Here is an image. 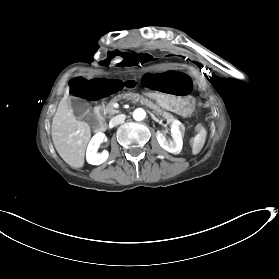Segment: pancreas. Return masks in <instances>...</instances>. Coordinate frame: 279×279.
Segmentation results:
<instances>
[{
	"instance_id": "obj_1",
	"label": "pancreas",
	"mask_w": 279,
	"mask_h": 279,
	"mask_svg": "<svg viewBox=\"0 0 279 279\" xmlns=\"http://www.w3.org/2000/svg\"><path fill=\"white\" fill-rule=\"evenodd\" d=\"M120 99H133L135 102L140 103L143 107L149 108L152 112H154L156 115H159V117L163 120L169 121L171 119V116L169 114H166L162 112L160 108H158L155 104H153L150 101L145 100L144 98H141V96L135 94V93H126V94H120L114 98L111 99V101L103 105V113L104 115H114L118 113L119 111L114 108V103L118 102Z\"/></svg>"
}]
</instances>
